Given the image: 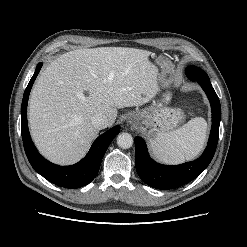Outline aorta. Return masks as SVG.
I'll list each match as a JSON object with an SVG mask.
<instances>
[{"label":"aorta","instance_id":"obj_1","mask_svg":"<svg viewBox=\"0 0 247 247\" xmlns=\"http://www.w3.org/2000/svg\"><path fill=\"white\" fill-rule=\"evenodd\" d=\"M117 144L122 149H128L133 145V137L129 133H121L117 137Z\"/></svg>","mask_w":247,"mask_h":247}]
</instances>
